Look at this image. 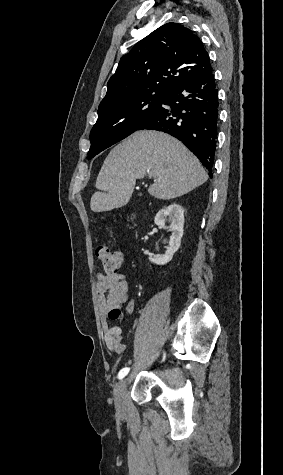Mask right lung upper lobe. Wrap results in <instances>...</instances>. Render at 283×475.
<instances>
[{
    "label": "right lung upper lobe",
    "mask_w": 283,
    "mask_h": 475,
    "mask_svg": "<svg viewBox=\"0 0 283 475\" xmlns=\"http://www.w3.org/2000/svg\"><path fill=\"white\" fill-rule=\"evenodd\" d=\"M212 71L202 41L179 23H167L134 45L108 81L100 106L134 96L168 92L175 85Z\"/></svg>",
    "instance_id": "right-lung-upper-lobe-1"
}]
</instances>
